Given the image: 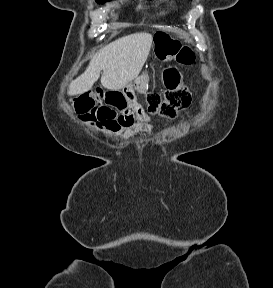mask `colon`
Masks as SVG:
<instances>
[{
  "mask_svg": "<svg viewBox=\"0 0 273 288\" xmlns=\"http://www.w3.org/2000/svg\"><path fill=\"white\" fill-rule=\"evenodd\" d=\"M155 50L157 57L164 61L190 65L195 60L189 47L165 34L156 35ZM163 84V94L152 92L147 95V110L151 114L173 120L189 106L191 94L175 67L164 69ZM73 106L82 121L112 130L130 127L137 118L136 112L128 106L125 96L119 91L98 88L94 93L80 95Z\"/></svg>",
  "mask_w": 273,
  "mask_h": 288,
  "instance_id": "colon-1",
  "label": "colon"
}]
</instances>
